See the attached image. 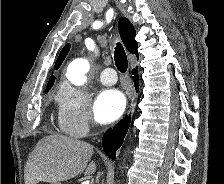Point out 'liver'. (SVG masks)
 Listing matches in <instances>:
<instances>
[{"label": "liver", "mask_w": 224, "mask_h": 184, "mask_svg": "<svg viewBox=\"0 0 224 184\" xmlns=\"http://www.w3.org/2000/svg\"><path fill=\"white\" fill-rule=\"evenodd\" d=\"M92 154L93 146L87 142L63 135L46 136L29 155L25 184L67 181L84 171L85 175H91L96 171L95 162L89 163Z\"/></svg>", "instance_id": "liver-1"}]
</instances>
